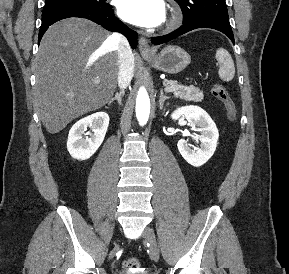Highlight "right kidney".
<instances>
[{"label":"right kidney","mask_w":289,"mask_h":274,"mask_svg":"<svg viewBox=\"0 0 289 274\" xmlns=\"http://www.w3.org/2000/svg\"><path fill=\"white\" fill-rule=\"evenodd\" d=\"M109 125L105 112H96L77 121L69 131L67 149L72 158L89 159L102 144ZM88 136H83L87 131Z\"/></svg>","instance_id":"1"}]
</instances>
